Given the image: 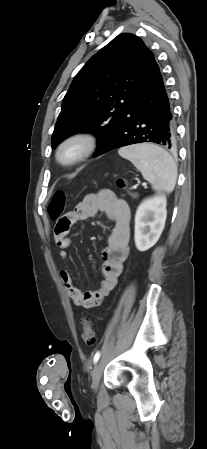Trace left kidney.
<instances>
[{
    "instance_id": "5707ae66",
    "label": "left kidney",
    "mask_w": 207,
    "mask_h": 449,
    "mask_svg": "<svg viewBox=\"0 0 207 449\" xmlns=\"http://www.w3.org/2000/svg\"><path fill=\"white\" fill-rule=\"evenodd\" d=\"M167 200L163 195L145 199L135 214L134 240L143 252L154 246L161 236L167 217Z\"/></svg>"
}]
</instances>
